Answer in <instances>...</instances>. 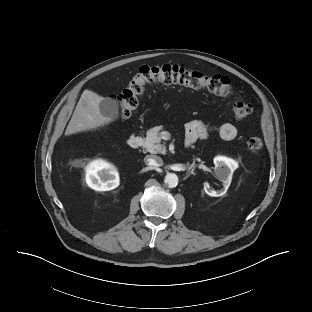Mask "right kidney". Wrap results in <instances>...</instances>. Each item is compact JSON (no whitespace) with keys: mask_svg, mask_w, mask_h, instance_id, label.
Here are the masks:
<instances>
[{"mask_svg":"<svg viewBox=\"0 0 312 312\" xmlns=\"http://www.w3.org/2000/svg\"><path fill=\"white\" fill-rule=\"evenodd\" d=\"M86 183L97 191H109L119 185L116 168L103 160L90 163L86 168Z\"/></svg>","mask_w":312,"mask_h":312,"instance_id":"right-kidney-1","label":"right kidney"}]
</instances>
